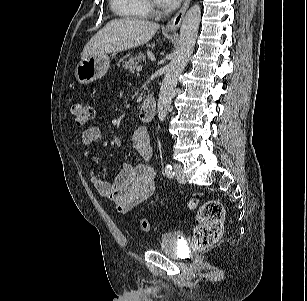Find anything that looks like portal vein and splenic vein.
<instances>
[{
	"label": "portal vein and splenic vein",
	"mask_w": 307,
	"mask_h": 301,
	"mask_svg": "<svg viewBox=\"0 0 307 301\" xmlns=\"http://www.w3.org/2000/svg\"><path fill=\"white\" fill-rule=\"evenodd\" d=\"M138 72L142 71V66H138L137 69H136Z\"/></svg>",
	"instance_id": "18ae733b"
}]
</instances>
